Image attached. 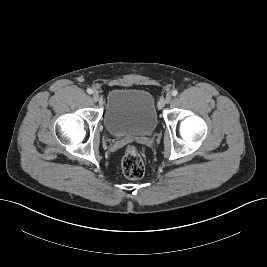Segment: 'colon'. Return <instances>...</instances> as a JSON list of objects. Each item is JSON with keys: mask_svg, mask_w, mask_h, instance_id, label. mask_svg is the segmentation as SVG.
Returning <instances> with one entry per match:
<instances>
[{"mask_svg": "<svg viewBox=\"0 0 267 267\" xmlns=\"http://www.w3.org/2000/svg\"><path fill=\"white\" fill-rule=\"evenodd\" d=\"M121 168L123 174L129 179H139L144 175L145 165L139 149L135 145L126 147L121 162Z\"/></svg>", "mask_w": 267, "mask_h": 267, "instance_id": "colon-1", "label": "colon"}]
</instances>
